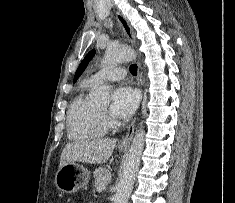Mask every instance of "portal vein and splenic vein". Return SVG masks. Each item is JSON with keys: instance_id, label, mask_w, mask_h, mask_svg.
Returning a JSON list of instances; mask_svg holds the SVG:
<instances>
[{"instance_id": "portal-vein-and-splenic-vein-1", "label": "portal vein and splenic vein", "mask_w": 235, "mask_h": 203, "mask_svg": "<svg viewBox=\"0 0 235 203\" xmlns=\"http://www.w3.org/2000/svg\"><path fill=\"white\" fill-rule=\"evenodd\" d=\"M102 190H103V187H99V188H97V192H98V193H101V192H102Z\"/></svg>"}]
</instances>
